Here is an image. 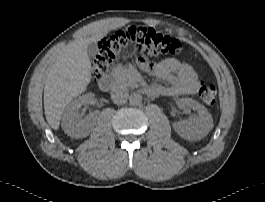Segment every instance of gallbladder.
<instances>
[{
    "label": "gallbladder",
    "mask_w": 265,
    "mask_h": 202,
    "mask_svg": "<svg viewBox=\"0 0 265 202\" xmlns=\"http://www.w3.org/2000/svg\"><path fill=\"white\" fill-rule=\"evenodd\" d=\"M87 53L90 57H94L98 53V46L95 42L88 44Z\"/></svg>",
    "instance_id": "gallbladder-1"
}]
</instances>
